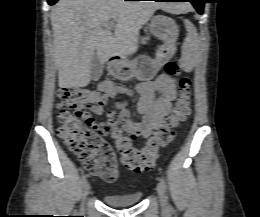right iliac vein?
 <instances>
[{
	"mask_svg": "<svg viewBox=\"0 0 260 217\" xmlns=\"http://www.w3.org/2000/svg\"><path fill=\"white\" fill-rule=\"evenodd\" d=\"M90 192V184L88 182H86L83 185V201L86 199V197L88 196Z\"/></svg>",
	"mask_w": 260,
	"mask_h": 217,
	"instance_id": "1",
	"label": "right iliac vein"
}]
</instances>
